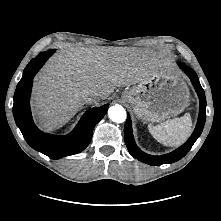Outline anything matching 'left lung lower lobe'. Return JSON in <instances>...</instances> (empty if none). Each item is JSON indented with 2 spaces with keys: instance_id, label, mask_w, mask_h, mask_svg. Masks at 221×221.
I'll return each instance as SVG.
<instances>
[{
  "instance_id": "obj_1",
  "label": "left lung lower lobe",
  "mask_w": 221,
  "mask_h": 221,
  "mask_svg": "<svg viewBox=\"0 0 221 221\" xmlns=\"http://www.w3.org/2000/svg\"><path fill=\"white\" fill-rule=\"evenodd\" d=\"M178 65L189 76L198 94L199 101H200L198 122L191 137L181 147H179L178 149L166 155L152 156V155H148L144 153L136 146L134 138H133V133H132L131 119L128 114L127 120L124 126V139H125V143L128 148V151L133 157L149 165H153V166L162 165L166 163H173V162L180 160L182 157H184L188 153V151L191 149L195 141L198 139V137L202 133V130L205 124L206 98H205L204 90L202 89L200 85L198 76L191 68L187 67L183 63H178Z\"/></svg>"
}]
</instances>
